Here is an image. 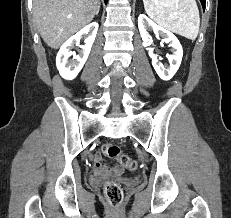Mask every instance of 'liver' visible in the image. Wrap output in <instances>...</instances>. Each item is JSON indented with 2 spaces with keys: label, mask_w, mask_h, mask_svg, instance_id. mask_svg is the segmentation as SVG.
<instances>
[{
  "label": "liver",
  "mask_w": 231,
  "mask_h": 218,
  "mask_svg": "<svg viewBox=\"0 0 231 218\" xmlns=\"http://www.w3.org/2000/svg\"><path fill=\"white\" fill-rule=\"evenodd\" d=\"M99 8L100 0H34L33 17L44 42L58 49L89 24Z\"/></svg>",
  "instance_id": "1"
}]
</instances>
